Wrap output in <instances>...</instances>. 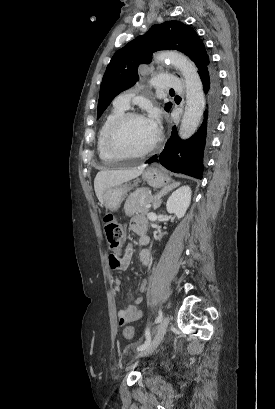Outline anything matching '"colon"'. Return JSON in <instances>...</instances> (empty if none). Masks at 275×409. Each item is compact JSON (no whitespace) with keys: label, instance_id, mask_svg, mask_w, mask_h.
I'll list each match as a JSON object with an SVG mask.
<instances>
[{"label":"colon","instance_id":"colon-1","mask_svg":"<svg viewBox=\"0 0 275 409\" xmlns=\"http://www.w3.org/2000/svg\"><path fill=\"white\" fill-rule=\"evenodd\" d=\"M103 228L109 249L114 256H121V226L112 214H107L103 218ZM123 335L126 340H132L134 337V327L126 325L123 329Z\"/></svg>","mask_w":275,"mask_h":409}]
</instances>
